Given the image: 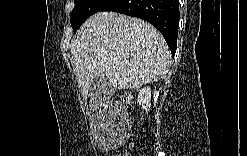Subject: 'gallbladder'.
Wrapping results in <instances>:
<instances>
[{"label":"gallbladder","instance_id":"obj_1","mask_svg":"<svg viewBox=\"0 0 247 156\" xmlns=\"http://www.w3.org/2000/svg\"><path fill=\"white\" fill-rule=\"evenodd\" d=\"M103 90L106 94H110L114 91V88L102 77L95 79L89 86V91H100Z\"/></svg>","mask_w":247,"mask_h":156}]
</instances>
